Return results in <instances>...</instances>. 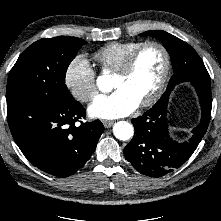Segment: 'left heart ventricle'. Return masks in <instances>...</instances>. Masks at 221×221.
Returning <instances> with one entry per match:
<instances>
[{"label": "left heart ventricle", "mask_w": 221, "mask_h": 221, "mask_svg": "<svg viewBox=\"0 0 221 221\" xmlns=\"http://www.w3.org/2000/svg\"><path fill=\"white\" fill-rule=\"evenodd\" d=\"M163 67L164 57L162 52L156 47H149L139 55L129 75L119 76L115 74L112 87L124 90L140 104L154 92Z\"/></svg>", "instance_id": "obj_1"}]
</instances>
